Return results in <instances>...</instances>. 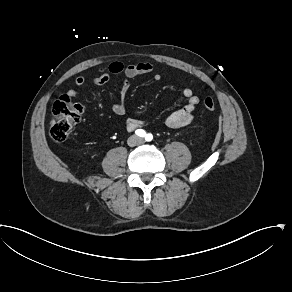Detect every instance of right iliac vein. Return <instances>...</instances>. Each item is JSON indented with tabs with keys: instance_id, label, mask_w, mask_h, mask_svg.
<instances>
[{
	"instance_id": "obj_1",
	"label": "right iliac vein",
	"mask_w": 292,
	"mask_h": 292,
	"mask_svg": "<svg viewBox=\"0 0 292 292\" xmlns=\"http://www.w3.org/2000/svg\"><path fill=\"white\" fill-rule=\"evenodd\" d=\"M133 143H134V139H131V140H130V144H133Z\"/></svg>"
}]
</instances>
